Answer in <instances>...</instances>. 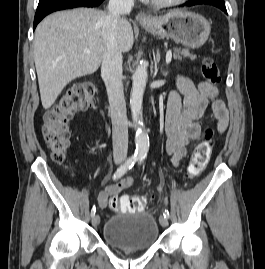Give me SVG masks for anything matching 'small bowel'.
<instances>
[{
    "instance_id": "small-bowel-1",
    "label": "small bowel",
    "mask_w": 265,
    "mask_h": 269,
    "mask_svg": "<svg viewBox=\"0 0 265 269\" xmlns=\"http://www.w3.org/2000/svg\"><path fill=\"white\" fill-rule=\"evenodd\" d=\"M217 94V88L208 82H195L184 76L177 78L176 88L168 97L165 120V149L173 166H178L187 156L190 142L199 138L200 129L197 121L209 104L218 120V131L223 133L226 130L228 111L224 101L217 98ZM132 184V177H126L106 186L98 195L99 207L106 208L111 197L130 188Z\"/></svg>"
}]
</instances>
